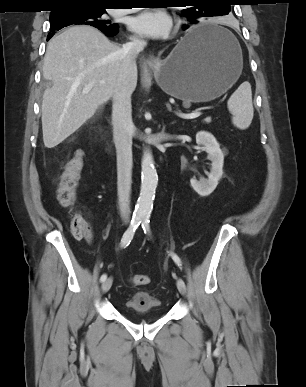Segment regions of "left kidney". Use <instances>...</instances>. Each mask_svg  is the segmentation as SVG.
Returning a JSON list of instances; mask_svg holds the SVG:
<instances>
[{"mask_svg":"<svg viewBox=\"0 0 306 387\" xmlns=\"http://www.w3.org/2000/svg\"><path fill=\"white\" fill-rule=\"evenodd\" d=\"M196 143L202 146L207 153V158L212 162L208 179L190 180L192 188L200 196L210 195L218 185L219 179L223 174L224 155L220 149L219 143L215 137L206 131H200L196 134Z\"/></svg>","mask_w":306,"mask_h":387,"instance_id":"5707ae66","label":"left kidney"}]
</instances>
